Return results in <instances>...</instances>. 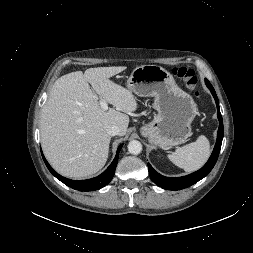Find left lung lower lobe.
<instances>
[{"mask_svg":"<svg viewBox=\"0 0 253 253\" xmlns=\"http://www.w3.org/2000/svg\"><path fill=\"white\" fill-rule=\"evenodd\" d=\"M205 83L215 99V102L217 105V116L219 119V129H218L217 141H216L214 150L209 160L207 161V163L200 170L183 177L170 178V177L162 176L158 172H156L152 168V166L148 163L150 178L155 184H157L159 187H162L163 189L181 190L197 183L198 181H200L202 178H204L210 173V171L212 170V168L214 167L218 159L219 152L221 149L222 139H223V120L220 113L219 101L215 93V90L207 79H205Z\"/></svg>","mask_w":253,"mask_h":253,"instance_id":"obj_1","label":"left lung lower lobe"}]
</instances>
